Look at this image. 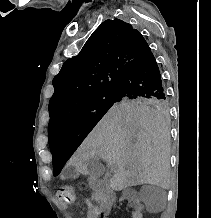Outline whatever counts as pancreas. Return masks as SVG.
Returning a JSON list of instances; mask_svg holds the SVG:
<instances>
[{
  "instance_id": "obj_1",
  "label": "pancreas",
  "mask_w": 211,
  "mask_h": 218,
  "mask_svg": "<svg viewBox=\"0 0 211 218\" xmlns=\"http://www.w3.org/2000/svg\"><path fill=\"white\" fill-rule=\"evenodd\" d=\"M101 204H102V205H105V204H106V201H105V200H102V201H101Z\"/></svg>"
}]
</instances>
